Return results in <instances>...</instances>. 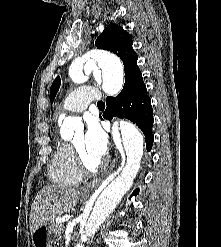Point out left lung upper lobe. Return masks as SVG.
Masks as SVG:
<instances>
[{"mask_svg": "<svg viewBox=\"0 0 221 247\" xmlns=\"http://www.w3.org/2000/svg\"><path fill=\"white\" fill-rule=\"evenodd\" d=\"M132 36L121 26L110 24L98 36L95 46L99 49L115 53L120 57L124 64L125 84L122 94H126L134 83L145 85L142 73L137 65L138 56L132 48ZM60 77H57L50 88V98L53 102L60 87Z\"/></svg>", "mask_w": 221, "mask_h": 247, "instance_id": "obj_1", "label": "left lung upper lobe"}]
</instances>
